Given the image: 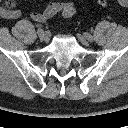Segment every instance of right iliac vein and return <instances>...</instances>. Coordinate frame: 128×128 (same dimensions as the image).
I'll return each instance as SVG.
<instances>
[{"label":"right iliac vein","instance_id":"63e3f726","mask_svg":"<svg viewBox=\"0 0 128 128\" xmlns=\"http://www.w3.org/2000/svg\"><path fill=\"white\" fill-rule=\"evenodd\" d=\"M37 34L42 41H47L49 39V35L47 32L43 31L42 29H39L37 31Z\"/></svg>","mask_w":128,"mask_h":128}]
</instances>
